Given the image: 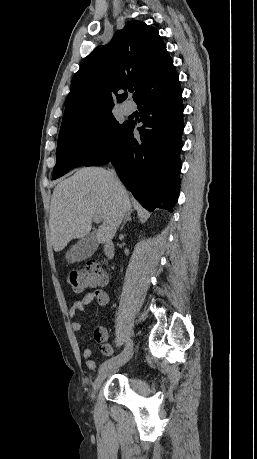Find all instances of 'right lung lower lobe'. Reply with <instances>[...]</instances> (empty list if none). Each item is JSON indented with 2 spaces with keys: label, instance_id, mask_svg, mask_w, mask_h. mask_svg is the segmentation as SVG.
<instances>
[{
  "label": "right lung lower lobe",
  "instance_id": "1",
  "mask_svg": "<svg viewBox=\"0 0 257 459\" xmlns=\"http://www.w3.org/2000/svg\"><path fill=\"white\" fill-rule=\"evenodd\" d=\"M178 74L148 91L136 101L141 112L140 137L133 136L134 122H127L112 148L85 166L109 162L140 204L173 211L178 199L182 146L183 104Z\"/></svg>",
  "mask_w": 257,
  "mask_h": 459
}]
</instances>
